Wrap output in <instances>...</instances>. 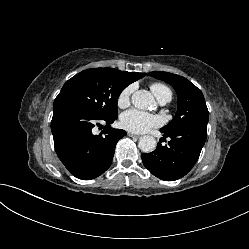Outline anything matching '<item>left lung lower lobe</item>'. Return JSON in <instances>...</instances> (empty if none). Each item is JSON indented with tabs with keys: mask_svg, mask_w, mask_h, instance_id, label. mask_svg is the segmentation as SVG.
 I'll return each mask as SVG.
<instances>
[{
	"mask_svg": "<svg viewBox=\"0 0 249 249\" xmlns=\"http://www.w3.org/2000/svg\"><path fill=\"white\" fill-rule=\"evenodd\" d=\"M163 136L170 138L167 145L158 143L153 152L143 153L141 157L154 176L174 181L186 175L197 162L206 140L207 125L186 126Z\"/></svg>",
	"mask_w": 249,
	"mask_h": 249,
	"instance_id": "left-lung-lower-lobe-1",
	"label": "left lung lower lobe"
}]
</instances>
